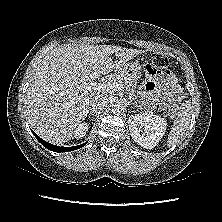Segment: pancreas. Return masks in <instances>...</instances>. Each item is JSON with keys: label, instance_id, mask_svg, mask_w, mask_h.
<instances>
[{"label": "pancreas", "instance_id": "1", "mask_svg": "<svg viewBox=\"0 0 222 222\" xmlns=\"http://www.w3.org/2000/svg\"><path fill=\"white\" fill-rule=\"evenodd\" d=\"M109 82H110V83L119 84L121 87L126 86V85H129L130 83H132V82H130V81L125 80L124 78H122V77L119 76V75L113 76V77L110 79Z\"/></svg>", "mask_w": 222, "mask_h": 222}]
</instances>
